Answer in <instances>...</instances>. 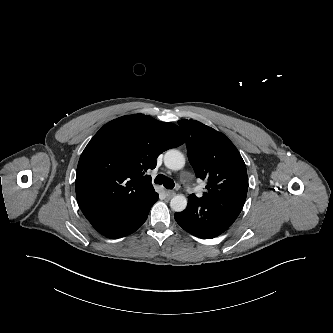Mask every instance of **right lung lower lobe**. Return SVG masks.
<instances>
[{
	"mask_svg": "<svg viewBox=\"0 0 333 333\" xmlns=\"http://www.w3.org/2000/svg\"><path fill=\"white\" fill-rule=\"evenodd\" d=\"M158 196L144 206L118 214H99L88 217L92 226L105 237L115 239L136 231L147 219Z\"/></svg>",
	"mask_w": 333,
	"mask_h": 333,
	"instance_id": "1",
	"label": "right lung lower lobe"
}]
</instances>
